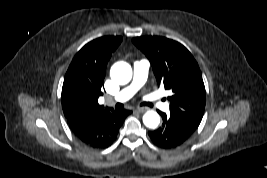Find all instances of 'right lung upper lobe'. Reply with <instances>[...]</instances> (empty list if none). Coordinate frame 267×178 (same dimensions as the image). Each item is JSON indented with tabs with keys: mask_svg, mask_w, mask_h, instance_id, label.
<instances>
[{
	"mask_svg": "<svg viewBox=\"0 0 267 178\" xmlns=\"http://www.w3.org/2000/svg\"><path fill=\"white\" fill-rule=\"evenodd\" d=\"M122 41L120 36L97 38L74 56L64 78L61 102L70 127L81 120L104 114L112 108L98 104L103 94L106 65Z\"/></svg>",
	"mask_w": 267,
	"mask_h": 178,
	"instance_id": "cb5924a9",
	"label": "right lung upper lobe"
}]
</instances>
